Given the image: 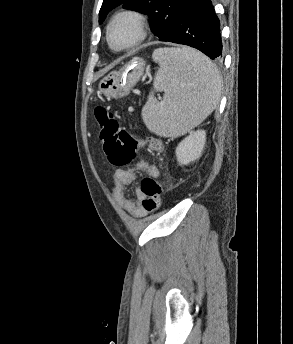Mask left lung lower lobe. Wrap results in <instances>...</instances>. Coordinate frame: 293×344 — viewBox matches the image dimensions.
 <instances>
[{
	"label": "left lung lower lobe",
	"mask_w": 293,
	"mask_h": 344,
	"mask_svg": "<svg viewBox=\"0 0 293 344\" xmlns=\"http://www.w3.org/2000/svg\"><path fill=\"white\" fill-rule=\"evenodd\" d=\"M160 41L188 45L211 59L221 58L220 22L211 0H189L175 25Z\"/></svg>",
	"instance_id": "left-lung-lower-lobe-1"
}]
</instances>
